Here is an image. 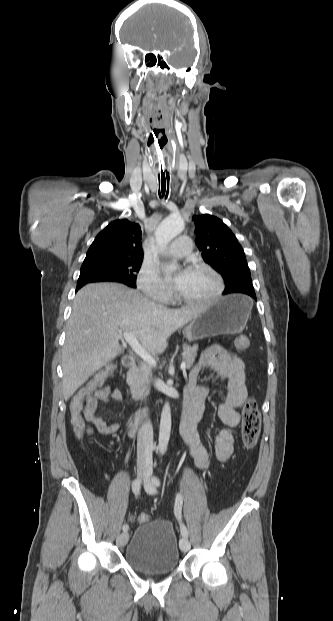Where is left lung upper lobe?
<instances>
[{
	"label": "left lung upper lobe",
	"instance_id": "left-lung-upper-lobe-1",
	"mask_svg": "<svg viewBox=\"0 0 333 621\" xmlns=\"http://www.w3.org/2000/svg\"><path fill=\"white\" fill-rule=\"evenodd\" d=\"M192 219L196 226L195 242L204 261L224 278L223 294L255 293L244 251L232 231L209 214Z\"/></svg>",
	"mask_w": 333,
	"mask_h": 621
}]
</instances>
